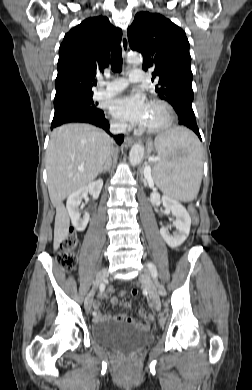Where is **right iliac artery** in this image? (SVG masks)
<instances>
[{
	"mask_svg": "<svg viewBox=\"0 0 252 390\" xmlns=\"http://www.w3.org/2000/svg\"><path fill=\"white\" fill-rule=\"evenodd\" d=\"M104 289H105V280H102V282L100 283V292H103ZM90 315L95 316L96 312L92 311L90 312Z\"/></svg>",
	"mask_w": 252,
	"mask_h": 390,
	"instance_id": "obj_1",
	"label": "right iliac artery"
}]
</instances>
